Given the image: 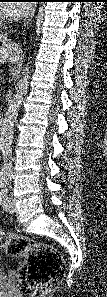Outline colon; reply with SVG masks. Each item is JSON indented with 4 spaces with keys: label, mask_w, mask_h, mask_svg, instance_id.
Segmentation results:
<instances>
[{
    "label": "colon",
    "mask_w": 107,
    "mask_h": 297,
    "mask_svg": "<svg viewBox=\"0 0 107 297\" xmlns=\"http://www.w3.org/2000/svg\"><path fill=\"white\" fill-rule=\"evenodd\" d=\"M0 247L9 256L24 259L18 286L26 297H41L50 293L64 274V261L50 245L1 232Z\"/></svg>",
    "instance_id": "5ec220e1"
}]
</instances>
